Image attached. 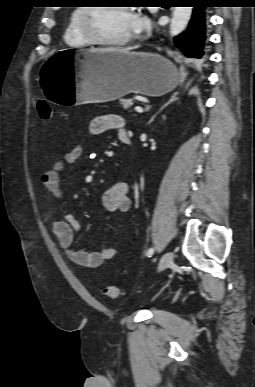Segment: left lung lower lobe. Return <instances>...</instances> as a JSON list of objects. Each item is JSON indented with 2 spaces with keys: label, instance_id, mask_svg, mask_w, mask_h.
<instances>
[{
  "label": "left lung lower lobe",
  "instance_id": "left-lung-lower-lobe-1",
  "mask_svg": "<svg viewBox=\"0 0 255 387\" xmlns=\"http://www.w3.org/2000/svg\"><path fill=\"white\" fill-rule=\"evenodd\" d=\"M209 0H185L183 3L191 4L193 8L192 18L187 32L174 38L175 44L184 55L191 58L192 63L197 64L204 60L207 47V7Z\"/></svg>",
  "mask_w": 255,
  "mask_h": 387
}]
</instances>
